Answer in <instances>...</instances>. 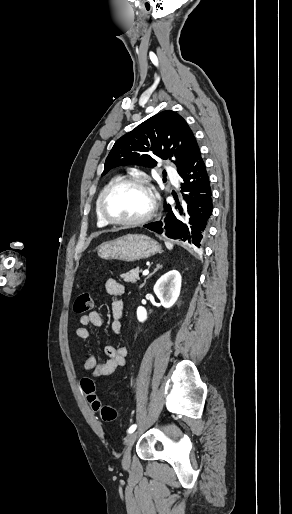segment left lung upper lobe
Returning a JSON list of instances; mask_svg holds the SVG:
<instances>
[{
	"mask_svg": "<svg viewBox=\"0 0 292 514\" xmlns=\"http://www.w3.org/2000/svg\"><path fill=\"white\" fill-rule=\"evenodd\" d=\"M194 134L183 117L162 111L119 138L105 161V175L124 165L154 167L156 159L171 160L179 171L188 156Z\"/></svg>",
	"mask_w": 292,
	"mask_h": 514,
	"instance_id": "obj_1",
	"label": "left lung upper lobe"
}]
</instances>
